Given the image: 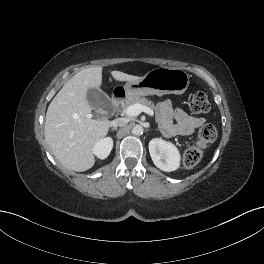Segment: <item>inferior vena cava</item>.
Here are the masks:
<instances>
[{"instance_id":"inferior-vena-cava-1","label":"inferior vena cava","mask_w":264,"mask_h":264,"mask_svg":"<svg viewBox=\"0 0 264 264\" xmlns=\"http://www.w3.org/2000/svg\"><path fill=\"white\" fill-rule=\"evenodd\" d=\"M127 124V120L124 119V118H118V119H115L113 121H111L110 125L112 127H117V126H125Z\"/></svg>"}]
</instances>
